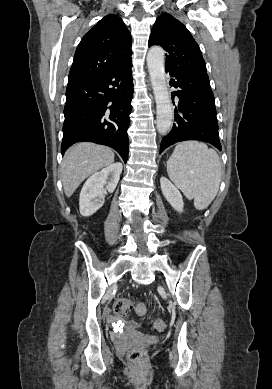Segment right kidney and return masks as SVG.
I'll use <instances>...</instances> for the list:
<instances>
[{"label": "right kidney", "mask_w": 272, "mask_h": 389, "mask_svg": "<svg viewBox=\"0 0 272 389\" xmlns=\"http://www.w3.org/2000/svg\"><path fill=\"white\" fill-rule=\"evenodd\" d=\"M121 172L122 164L113 163L87 179L79 199V209L82 216L89 217L102 207L105 199L104 185L107 184L106 190L112 193L118 184ZM108 176L111 178L107 182Z\"/></svg>", "instance_id": "ca27d5eb"}]
</instances>
